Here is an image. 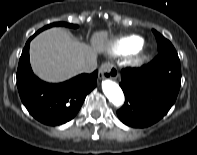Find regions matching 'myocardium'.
<instances>
[{"label": "myocardium", "instance_id": "1", "mask_svg": "<svg viewBox=\"0 0 197 155\" xmlns=\"http://www.w3.org/2000/svg\"><path fill=\"white\" fill-rule=\"evenodd\" d=\"M144 60V56H141L139 59H137L136 63L140 64Z\"/></svg>", "mask_w": 197, "mask_h": 155}]
</instances>
